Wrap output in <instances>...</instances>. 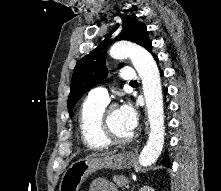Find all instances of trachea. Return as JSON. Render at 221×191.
I'll use <instances>...</instances> for the list:
<instances>
[{"mask_svg": "<svg viewBox=\"0 0 221 191\" xmlns=\"http://www.w3.org/2000/svg\"><path fill=\"white\" fill-rule=\"evenodd\" d=\"M130 84H137V82L136 81H131Z\"/></svg>", "mask_w": 221, "mask_h": 191, "instance_id": "3493384b", "label": "trachea"}]
</instances>
